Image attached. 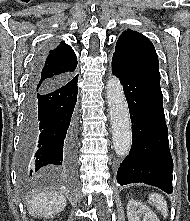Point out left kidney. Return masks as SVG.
Instances as JSON below:
<instances>
[{
  "label": "left kidney",
  "mask_w": 190,
  "mask_h": 221,
  "mask_svg": "<svg viewBox=\"0 0 190 221\" xmlns=\"http://www.w3.org/2000/svg\"><path fill=\"white\" fill-rule=\"evenodd\" d=\"M127 216L128 221H160L146 205L133 199L127 204Z\"/></svg>",
  "instance_id": "1"
}]
</instances>
